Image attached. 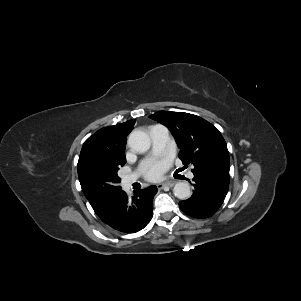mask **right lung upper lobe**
<instances>
[{"label": "right lung upper lobe", "instance_id": "obj_1", "mask_svg": "<svg viewBox=\"0 0 301 301\" xmlns=\"http://www.w3.org/2000/svg\"><path fill=\"white\" fill-rule=\"evenodd\" d=\"M135 120H128L114 126L104 127L90 136L83 144L80 157L89 152L114 154L125 157V146L128 134L132 131ZM96 212V211H95ZM105 211H98V216Z\"/></svg>", "mask_w": 301, "mask_h": 301}]
</instances>
